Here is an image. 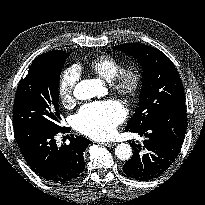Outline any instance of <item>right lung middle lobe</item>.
<instances>
[{"label":"right lung middle lobe","instance_id":"1","mask_svg":"<svg viewBox=\"0 0 205 205\" xmlns=\"http://www.w3.org/2000/svg\"><path fill=\"white\" fill-rule=\"evenodd\" d=\"M69 53L32 64L18 86L13 106V125H40L61 129L59 79Z\"/></svg>","mask_w":205,"mask_h":205}]
</instances>
